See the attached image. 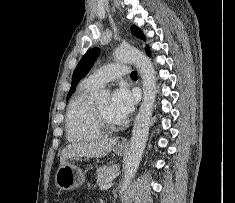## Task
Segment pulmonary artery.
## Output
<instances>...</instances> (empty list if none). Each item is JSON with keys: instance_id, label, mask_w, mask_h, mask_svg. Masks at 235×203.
<instances>
[{"instance_id": "pulmonary-artery-1", "label": "pulmonary artery", "mask_w": 235, "mask_h": 203, "mask_svg": "<svg viewBox=\"0 0 235 203\" xmlns=\"http://www.w3.org/2000/svg\"><path fill=\"white\" fill-rule=\"evenodd\" d=\"M128 66L124 63H111L108 64L86 78L90 85L101 88L105 86L108 82L118 79L126 74H128Z\"/></svg>"}]
</instances>
